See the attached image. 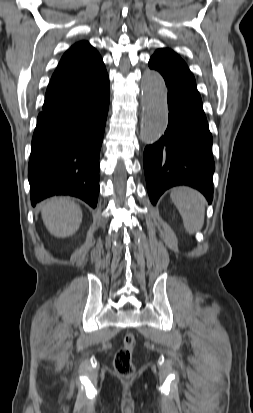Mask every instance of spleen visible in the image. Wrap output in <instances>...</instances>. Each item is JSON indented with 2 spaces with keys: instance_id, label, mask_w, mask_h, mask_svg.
Masks as SVG:
<instances>
[{
  "instance_id": "1",
  "label": "spleen",
  "mask_w": 253,
  "mask_h": 413,
  "mask_svg": "<svg viewBox=\"0 0 253 413\" xmlns=\"http://www.w3.org/2000/svg\"><path fill=\"white\" fill-rule=\"evenodd\" d=\"M170 197L177 207L186 231L194 234L204 224L206 200L198 191L179 187L172 190Z\"/></svg>"
}]
</instances>
